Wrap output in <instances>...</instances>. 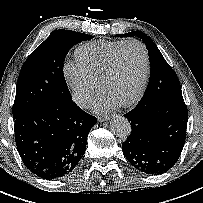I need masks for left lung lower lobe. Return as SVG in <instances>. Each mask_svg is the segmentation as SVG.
Instances as JSON below:
<instances>
[{
  "mask_svg": "<svg viewBox=\"0 0 203 203\" xmlns=\"http://www.w3.org/2000/svg\"><path fill=\"white\" fill-rule=\"evenodd\" d=\"M124 116L132 129L122 144L130 164L151 175L171 169L186 139L188 110L184 101L137 105Z\"/></svg>",
  "mask_w": 203,
  "mask_h": 203,
  "instance_id": "1",
  "label": "left lung lower lobe"
}]
</instances>
